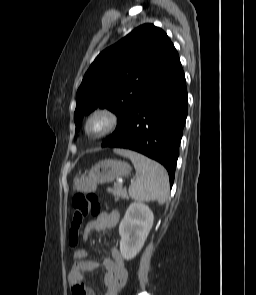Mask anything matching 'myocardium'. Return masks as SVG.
<instances>
[{"label":"myocardium","mask_w":256,"mask_h":295,"mask_svg":"<svg viewBox=\"0 0 256 295\" xmlns=\"http://www.w3.org/2000/svg\"><path fill=\"white\" fill-rule=\"evenodd\" d=\"M99 122L100 127L96 131H92L91 125ZM117 125L116 115L107 108H97L93 110L84 120L83 132L91 139H99L109 135Z\"/></svg>","instance_id":"myocardium-1"}]
</instances>
